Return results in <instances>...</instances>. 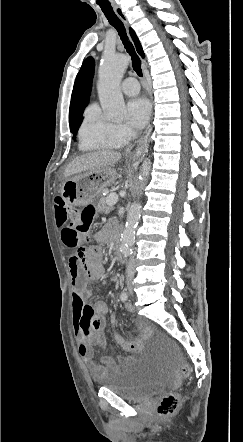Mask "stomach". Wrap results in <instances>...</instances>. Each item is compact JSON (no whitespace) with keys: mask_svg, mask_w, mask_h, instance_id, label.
Returning <instances> with one entry per match:
<instances>
[{"mask_svg":"<svg viewBox=\"0 0 243 442\" xmlns=\"http://www.w3.org/2000/svg\"><path fill=\"white\" fill-rule=\"evenodd\" d=\"M116 178L117 173L111 166L95 169L67 179L61 188V195L70 205L83 206L114 184Z\"/></svg>","mask_w":243,"mask_h":442,"instance_id":"0dacf381","label":"stomach"}]
</instances>
